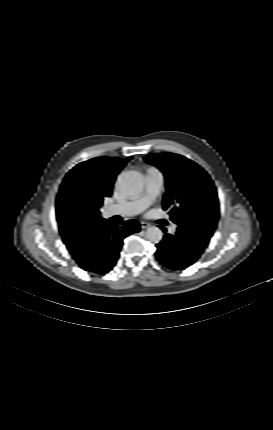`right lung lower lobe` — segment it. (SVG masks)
Segmentation results:
<instances>
[{
    "label": "right lung lower lobe",
    "mask_w": 273,
    "mask_h": 430,
    "mask_svg": "<svg viewBox=\"0 0 273 430\" xmlns=\"http://www.w3.org/2000/svg\"><path fill=\"white\" fill-rule=\"evenodd\" d=\"M139 230L140 224L135 220H129L119 227L100 219L90 228L89 236L84 239V247L72 256L82 269L105 274L115 265L123 239Z\"/></svg>",
    "instance_id": "obj_1"
}]
</instances>
